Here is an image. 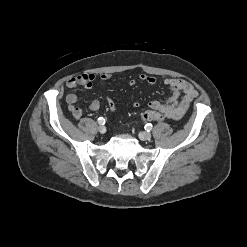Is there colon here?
Instances as JSON below:
<instances>
[{
	"label": "colon",
	"mask_w": 247,
	"mask_h": 247,
	"mask_svg": "<svg viewBox=\"0 0 247 247\" xmlns=\"http://www.w3.org/2000/svg\"><path fill=\"white\" fill-rule=\"evenodd\" d=\"M141 118L145 121H163L165 119V115L157 110H146L141 114Z\"/></svg>",
	"instance_id": "colon-1"
}]
</instances>
